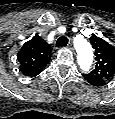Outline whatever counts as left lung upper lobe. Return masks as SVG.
<instances>
[{
	"label": "left lung upper lobe",
	"mask_w": 115,
	"mask_h": 119,
	"mask_svg": "<svg viewBox=\"0 0 115 119\" xmlns=\"http://www.w3.org/2000/svg\"><path fill=\"white\" fill-rule=\"evenodd\" d=\"M90 42L96 55L95 69L90 74L111 80L115 76V47L96 35L91 36Z\"/></svg>",
	"instance_id": "1"
}]
</instances>
